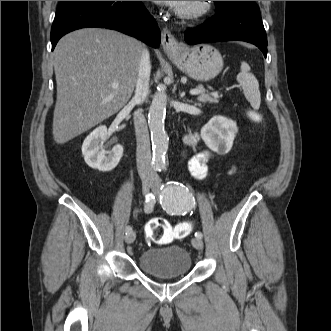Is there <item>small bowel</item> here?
Segmentation results:
<instances>
[{
  "label": "small bowel",
  "mask_w": 331,
  "mask_h": 331,
  "mask_svg": "<svg viewBox=\"0 0 331 331\" xmlns=\"http://www.w3.org/2000/svg\"><path fill=\"white\" fill-rule=\"evenodd\" d=\"M198 141L196 133L188 134L184 137V144L186 146H193ZM210 154L207 151L199 152L192 156L188 162V168L193 177L196 179H204L208 173V161Z\"/></svg>",
  "instance_id": "1"
}]
</instances>
